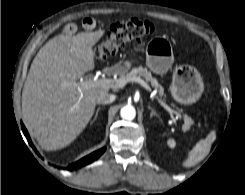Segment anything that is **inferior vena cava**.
<instances>
[{
  "label": "inferior vena cava",
  "instance_id": "602c4592",
  "mask_svg": "<svg viewBox=\"0 0 245 195\" xmlns=\"http://www.w3.org/2000/svg\"><path fill=\"white\" fill-rule=\"evenodd\" d=\"M116 99V96L113 94H109V93H101L98 97L96 102L98 104H109L114 102Z\"/></svg>",
  "mask_w": 245,
  "mask_h": 195
}]
</instances>
